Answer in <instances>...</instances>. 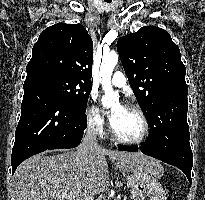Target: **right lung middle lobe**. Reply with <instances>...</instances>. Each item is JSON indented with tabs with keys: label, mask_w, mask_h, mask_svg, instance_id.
I'll return each instance as SVG.
<instances>
[{
	"label": "right lung middle lobe",
	"mask_w": 205,
	"mask_h": 200,
	"mask_svg": "<svg viewBox=\"0 0 205 200\" xmlns=\"http://www.w3.org/2000/svg\"><path fill=\"white\" fill-rule=\"evenodd\" d=\"M38 85L52 89L68 104L80 111H85L91 84L83 83L58 74H42L26 79L24 86Z\"/></svg>",
	"instance_id": "obj_1"
}]
</instances>
